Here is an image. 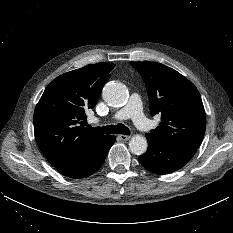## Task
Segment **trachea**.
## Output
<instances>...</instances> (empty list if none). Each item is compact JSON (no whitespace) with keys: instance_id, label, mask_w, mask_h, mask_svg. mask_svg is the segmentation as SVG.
<instances>
[{"instance_id":"3493384b","label":"trachea","mask_w":233,"mask_h":233,"mask_svg":"<svg viewBox=\"0 0 233 233\" xmlns=\"http://www.w3.org/2000/svg\"><path fill=\"white\" fill-rule=\"evenodd\" d=\"M92 130L102 133V134H123L130 135V130L122 123H118L117 125H107L103 127L92 128Z\"/></svg>"}]
</instances>
